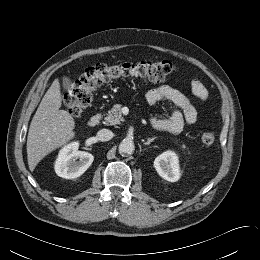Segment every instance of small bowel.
<instances>
[{"label":"small bowel","mask_w":260,"mask_h":260,"mask_svg":"<svg viewBox=\"0 0 260 260\" xmlns=\"http://www.w3.org/2000/svg\"><path fill=\"white\" fill-rule=\"evenodd\" d=\"M193 94L201 101L208 98V91L197 79L191 81ZM147 102L154 106L162 101H169L175 105L171 116L168 119H152L151 125L160 131L179 133L185 124H193L197 119V113L191 100L178 89L161 85L149 90L146 94Z\"/></svg>","instance_id":"small-bowel-1"}]
</instances>
